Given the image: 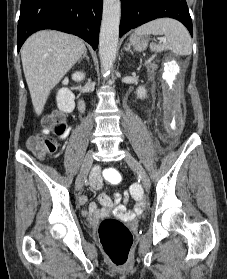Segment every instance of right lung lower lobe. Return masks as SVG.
<instances>
[{
	"label": "right lung lower lobe",
	"instance_id": "obj_1",
	"mask_svg": "<svg viewBox=\"0 0 227 279\" xmlns=\"http://www.w3.org/2000/svg\"><path fill=\"white\" fill-rule=\"evenodd\" d=\"M102 0H21L18 51L34 32L55 29L77 35L98 47Z\"/></svg>",
	"mask_w": 227,
	"mask_h": 279
}]
</instances>
